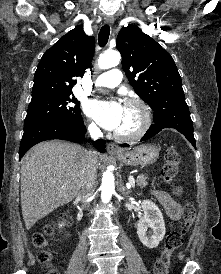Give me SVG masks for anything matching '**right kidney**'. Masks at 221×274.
Wrapping results in <instances>:
<instances>
[{"mask_svg":"<svg viewBox=\"0 0 221 274\" xmlns=\"http://www.w3.org/2000/svg\"><path fill=\"white\" fill-rule=\"evenodd\" d=\"M64 225V223H61V224H59V227H62Z\"/></svg>","mask_w":221,"mask_h":274,"instance_id":"1","label":"right kidney"}]
</instances>
